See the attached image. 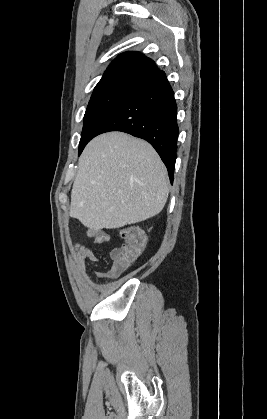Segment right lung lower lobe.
Returning a JSON list of instances; mask_svg holds the SVG:
<instances>
[{"label": "right lung lower lobe", "mask_w": 267, "mask_h": 419, "mask_svg": "<svg viewBox=\"0 0 267 419\" xmlns=\"http://www.w3.org/2000/svg\"><path fill=\"white\" fill-rule=\"evenodd\" d=\"M173 90L159 71L133 90L101 122L93 137L122 131L148 141L166 165L171 183L177 152L179 128Z\"/></svg>", "instance_id": "obj_1"}]
</instances>
